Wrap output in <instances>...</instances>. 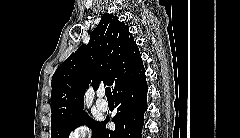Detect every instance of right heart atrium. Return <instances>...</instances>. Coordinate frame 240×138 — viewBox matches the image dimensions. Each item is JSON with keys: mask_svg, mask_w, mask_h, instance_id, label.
<instances>
[{"mask_svg": "<svg viewBox=\"0 0 240 138\" xmlns=\"http://www.w3.org/2000/svg\"><path fill=\"white\" fill-rule=\"evenodd\" d=\"M68 138H88L90 136L89 126L84 122L75 124L67 133Z\"/></svg>", "mask_w": 240, "mask_h": 138, "instance_id": "1", "label": "right heart atrium"}]
</instances>
